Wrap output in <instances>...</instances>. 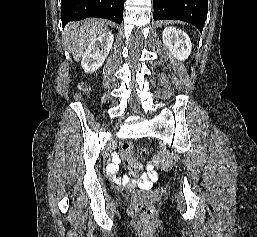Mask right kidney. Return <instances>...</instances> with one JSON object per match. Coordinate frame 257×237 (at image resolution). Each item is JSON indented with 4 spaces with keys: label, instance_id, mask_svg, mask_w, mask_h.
I'll use <instances>...</instances> for the list:
<instances>
[{
    "label": "right kidney",
    "instance_id": "ca27d5eb",
    "mask_svg": "<svg viewBox=\"0 0 257 237\" xmlns=\"http://www.w3.org/2000/svg\"><path fill=\"white\" fill-rule=\"evenodd\" d=\"M114 36L107 31L95 38L82 56L81 66L85 72L93 73L101 67L112 48Z\"/></svg>",
    "mask_w": 257,
    "mask_h": 237
}]
</instances>
